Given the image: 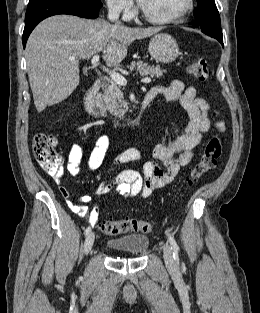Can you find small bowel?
Wrapping results in <instances>:
<instances>
[{
  "mask_svg": "<svg viewBox=\"0 0 260 313\" xmlns=\"http://www.w3.org/2000/svg\"><path fill=\"white\" fill-rule=\"evenodd\" d=\"M147 96L151 100L162 97L169 103H180L189 116L185 131L171 141L157 145L152 153L153 159L146 160L142 151L136 148H127L117 153L110 163L109 170L119 164L143 161V171L139 173L124 170L117 173L110 182H102L96 187V195L102 196L114 192L123 198L149 197L155 189L171 184L181 169L193 161L197 146L209 130L208 112L210 106L204 99L196 95L193 86L185 87L181 80L175 79L168 87L157 86L152 88ZM216 126L220 131H223V120L220 119ZM108 147V137L106 135L98 136L88 161L90 170H96L101 166ZM83 151L84 146L81 143H76L68 153L65 168L72 176H77L81 172ZM159 163L162 164L163 168ZM55 182L60 188L68 209L80 217H86L92 225H95L98 221V208L94 207L90 210L85 205L90 202L91 197L82 196L78 201H74L63 185L61 174L56 177Z\"/></svg>",
  "mask_w": 260,
  "mask_h": 313,
  "instance_id": "obj_1",
  "label": "small bowel"
}]
</instances>
